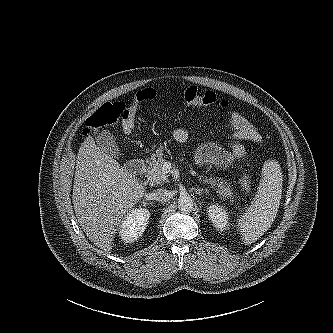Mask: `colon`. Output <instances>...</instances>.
Here are the masks:
<instances>
[{
  "label": "colon",
  "mask_w": 333,
  "mask_h": 333,
  "mask_svg": "<svg viewBox=\"0 0 333 333\" xmlns=\"http://www.w3.org/2000/svg\"><path fill=\"white\" fill-rule=\"evenodd\" d=\"M156 95L157 93L153 88H146L136 93L130 105L123 102L103 104L87 120L84 134L90 135L108 128H115L125 134L130 133L135 127L139 105L154 99ZM180 96L185 103L196 107L227 108L230 105L229 101L219 99L213 92L195 86L181 90ZM241 184L245 190L250 189V168L243 172Z\"/></svg>",
  "instance_id": "obj_1"
}]
</instances>
